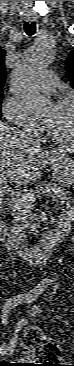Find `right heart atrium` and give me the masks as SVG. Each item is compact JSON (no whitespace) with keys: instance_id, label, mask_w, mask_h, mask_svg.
Segmentation results:
<instances>
[{"instance_id":"1","label":"right heart atrium","mask_w":74,"mask_h":366,"mask_svg":"<svg viewBox=\"0 0 74 366\" xmlns=\"http://www.w3.org/2000/svg\"><path fill=\"white\" fill-rule=\"evenodd\" d=\"M2 114L12 125L32 134L37 133L34 124L26 116L21 102L14 96H7L2 104Z\"/></svg>"}]
</instances>
